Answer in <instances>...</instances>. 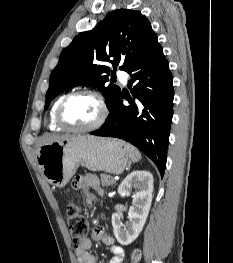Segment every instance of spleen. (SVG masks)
Wrapping results in <instances>:
<instances>
[{"label": "spleen", "mask_w": 233, "mask_h": 263, "mask_svg": "<svg viewBox=\"0 0 233 263\" xmlns=\"http://www.w3.org/2000/svg\"><path fill=\"white\" fill-rule=\"evenodd\" d=\"M129 157L131 159L132 162H138L141 159V154L140 152L132 145L127 144L126 145Z\"/></svg>", "instance_id": "1"}]
</instances>
